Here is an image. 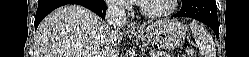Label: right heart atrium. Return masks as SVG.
<instances>
[{"instance_id": "obj_1", "label": "right heart atrium", "mask_w": 249, "mask_h": 57, "mask_svg": "<svg viewBox=\"0 0 249 57\" xmlns=\"http://www.w3.org/2000/svg\"><path fill=\"white\" fill-rule=\"evenodd\" d=\"M108 5L113 7L115 10H124L127 8V3L122 0L117 1H107Z\"/></svg>"}]
</instances>
